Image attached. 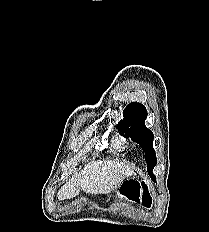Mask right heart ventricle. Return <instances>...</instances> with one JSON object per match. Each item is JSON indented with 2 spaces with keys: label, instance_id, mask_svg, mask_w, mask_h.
<instances>
[{
  "label": "right heart ventricle",
  "instance_id": "obj_1",
  "mask_svg": "<svg viewBox=\"0 0 209 232\" xmlns=\"http://www.w3.org/2000/svg\"><path fill=\"white\" fill-rule=\"evenodd\" d=\"M115 147H116V148H120V147H121V144H120L119 141L115 142Z\"/></svg>",
  "mask_w": 209,
  "mask_h": 232
}]
</instances>
